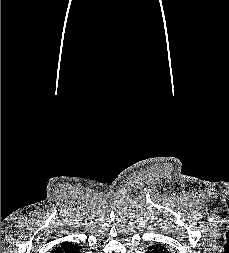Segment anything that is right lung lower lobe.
<instances>
[{"mask_svg":"<svg viewBox=\"0 0 229 253\" xmlns=\"http://www.w3.org/2000/svg\"><path fill=\"white\" fill-rule=\"evenodd\" d=\"M79 246L71 242H63L59 247L52 250L51 253H80Z\"/></svg>","mask_w":229,"mask_h":253,"instance_id":"98d812e1","label":"right lung lower lobe"}]
</instances>
